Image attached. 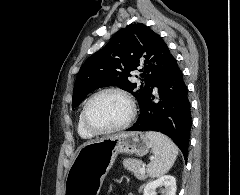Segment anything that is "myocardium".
Masks as SVG:
<instances>
[{
    "label": "myocardium",
    "instance_id": "f54148a6",
    "mask_svg": "<svg viewBox=\"0 0 240 195\" xmlns=\"http://www.w3.org/2000/svg\"><path fill=\"white\" fill-rule=\"evenodd\" d=\"M108 93H115V94H119L122 97H124L129 104L130 113H129L128 118L123 123H121V124H119L115 127H111V128H107V129H97L89 123V121H88V111H89V108H90L91 104L97 98L101 97L102 95L108 94ZM136 114H137L136 104H135L132 96L127 91H125L123 89L112 87V88H106V89H102V90L98 91L87 101V103L85 104V106L83 108V111H82V122H83L84 127L92 135H109V134H114V133L126 130L135 120Z\"/></svg>",
    "mask_w": 240,
    "mask_h": 195
}]
</instances>
